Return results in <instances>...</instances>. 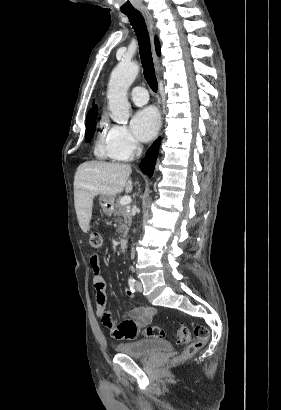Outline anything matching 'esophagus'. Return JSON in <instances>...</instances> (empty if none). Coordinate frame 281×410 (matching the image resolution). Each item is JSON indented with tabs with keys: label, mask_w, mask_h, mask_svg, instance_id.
<instances>
[{
	"label": "esophagus",
	"mask_w": 281,
	"mask_h": 410,
	"mask_svg": "<svg viewBox=\"0 0 281 410\" xmlns=\"http://www.w3.org/2000/svg\"><path fill=\"white\" fill-rule=\"evenodd\" d=\"M140 11H141V13H142V15L145 19V22H146V25H147V28H148V31H149V34H150V38H151V42H152V51H153L155 70H156L157 76L159 77L160 73H161L160 62H159V59L156 55L155 48H154V35L156 33V27H155L153 17L151 15L150 11L146 8H143Z\"/></svg>",
	"instance_id": "34e87169"
}]
</instances>
